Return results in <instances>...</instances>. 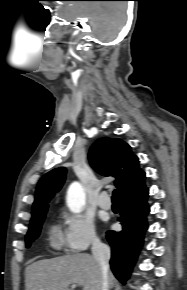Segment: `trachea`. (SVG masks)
<instances>
[{
    "instance_id": "trachea-1",
    "label": "trachea",
    "mask_w": 187,
    "mask_h": 290,
    "mask_svg": "<svg viewBox=\"0 0 187 290\" xmlns=\"http://www.w3.org/2000/svg\"><path fill=\"white\" fill-rule=\"evenodd\" d=\"M119 198H118V192L117 190H114L113 191V194H112V201L113 202H118Z\"/></svg>"
}]
</instances>
